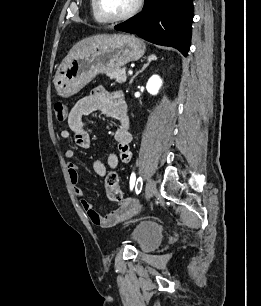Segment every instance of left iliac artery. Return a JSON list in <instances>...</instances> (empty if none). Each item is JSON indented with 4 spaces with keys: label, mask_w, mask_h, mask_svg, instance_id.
<instances>
[{
    "label": "left iliac artery",
    "mask_w": 261,
    "mask_h": 306,
    "mask_svg": "<svg viewBox=\"0 0 261 306\" xmlns=\"http://www.w3.org/2000/svg\"><path fill=\"white\" fill-rule=\"evenodd\" d=\"M135 174L132 173L131 174V177H130V189L132 190L133 187H134V184H135ZM142 185H143V182H142V178L139 177L137 179V182H136V193L139 194L141 192V189H142Z\"/></svg>",
    "instance_id": "1"
}]
</instances>
